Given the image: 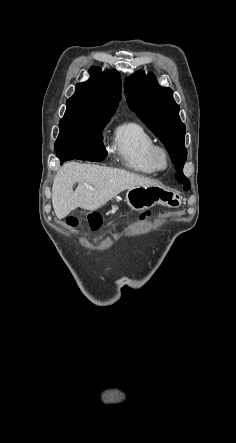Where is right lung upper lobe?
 <instances>
[{"label": "right lung upper lobe", "mask_w": 236, "mask_h": 443, "mask_svg": "<svg viewBox=\"0 0 236 443\" xmlns=\"http://www.w3.org/2000/svg\"><path fill=\"white\" fill-rule=\"evenodd\" d=\"M90 79L76 86L67 100L68 113L113 115L121 99V78L116 70H89Z\"/></svg>", "instance_id": "obj_1"}]
</instances>
